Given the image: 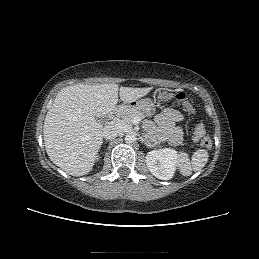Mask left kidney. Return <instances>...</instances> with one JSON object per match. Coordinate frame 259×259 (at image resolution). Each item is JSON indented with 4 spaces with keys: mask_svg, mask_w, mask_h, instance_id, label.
<instances>
[{
    "mask_svg": "<svg viewBox=\"0 0 259 259\" xmlns=\"http://www.w3.org/2000/svg\"><path fill=\"white\" fill-rule=\"evenodd\" d=\"M149 171L158 179L169 180L174 176L177 164V151L170 148L153 150L146 155Z\"/></svg>",
    "mask_w": 259,
    "mask_h": 259,
    "instance_id": "left-kidney-1",
    "label": "left kidney"
}]
</instances>
